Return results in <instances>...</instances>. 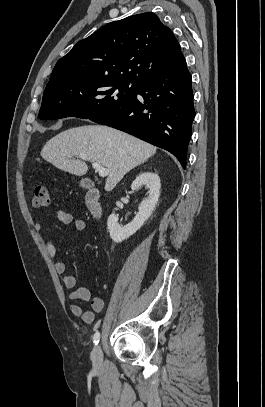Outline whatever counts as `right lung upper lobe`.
<instances>
[{
    "instance_id": "right-lung-upper-lobe-1",
    "label": "right lung upper lobe",
    "mask_w": 265,
    "mask_h": 407,
    "mask_svg": "<svg viewBox=\"0 0 265 407\" xmlns=\"http://www.w3.org/2000/svg\"><path fill=\"white\" fill-rule=\"evenodd\" d=\"M182 55L172 31L146 12L111 22L79 41L58 60L49 83L109 79L139 85Z\"/></svg>"
}]
</instances>
